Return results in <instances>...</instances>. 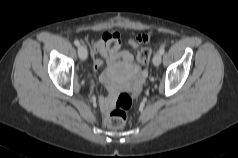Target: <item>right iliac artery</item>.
Returning <instances> with one entry per match:
<instances>
[{"label":"right iliac artery","instance_id":"82829eb1","mask_svg":"<svg viewBox=\"0 0 238 158\" xmlns=\"http://www.w3.org/2000/svg\"><path fill=\"white\" fill-rule=\"evenodd\" d=\"M74 44H75L76 46H79V45H80V42H79L78 40H75V41H74Z\"/></svg>","mask_w":238,"mask_h":158}]
</instances>
